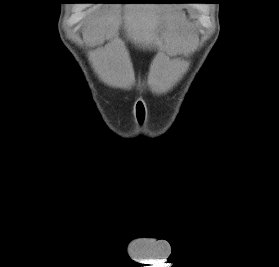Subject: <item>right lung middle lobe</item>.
Masks as SVG:
<instances>
[{"label":"right lung middle lobe","instance_id":"dd1d6c3e","mask_svg":"<svg viewBox=\"0 0 279 267\" xmlns=\"http://www.w3.org/2000/svg\"><path fill=\"white\" fill-rule=\"evenodd\" d=\"M110 1L119 2V3H128L131 0H110Z\"/></svg>","mask_w":279,"mask_h":267}]
</instances>
